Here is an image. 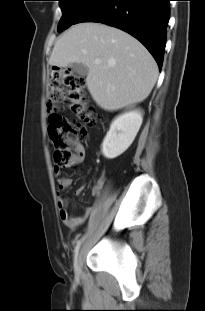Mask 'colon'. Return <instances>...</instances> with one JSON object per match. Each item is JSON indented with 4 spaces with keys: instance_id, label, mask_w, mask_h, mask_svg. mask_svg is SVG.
<instances>
[{
    "instance_id": "obj_1",
    "label": "colon",
    "mask_w": 205,
    "mask_h": 311,
    "mask_svg": "<svg viewBox=\"0 0 205 311\" xmlns=\"http://www.w3.org/2000/svg\"><path fill=\"white\" fill-rule=\"evenodd\" d=\"M69 101L70 111L79 120L63 116L59 109ZM46 109L49 133L54 145V161L65 166L72 158L81 142L87 137V126H95L98 118L85 100V79L67 70L54 69L48 83Z\"/></svg>"
}]
</instances>
